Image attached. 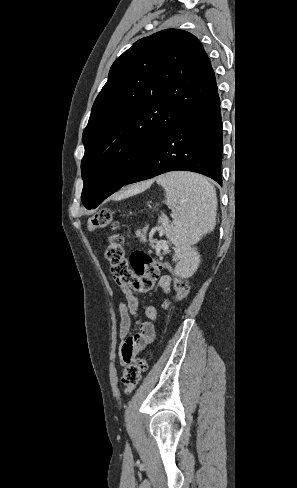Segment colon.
I'll return each instance as SVG.
<instances>
[{
	"label": "colon",
	"mask_w": 297,
	"mask_h": 488,
	"mask_svg": "<svg viewBox=\"0 0 297 488\" xmlns=\"http://www.w3.org/2000/svg\"><path fill=\"white\" fill-rule=\"evenodd\" d=\"M91 229L116 230L117 221L108 208L98 210L90 219ZM124 239L119 233L113 232L108 238V246L105 257L110 263L113 277L128 286L140 291L148 292L154 288L156 280L164 269L175 272L174 266L166 261L155 259L137 250L128 258L125 254ZM189 283L186 279L175 275L174 290L176 301L184 299L189 293ZM167 306V304H166ZM148 369V362L145 357L136 358L127 364L121 376V382L125 393H131L139 384L141 376Z\"/></svg>",
	"instance_id": "obj_1"
}]
</instances>
